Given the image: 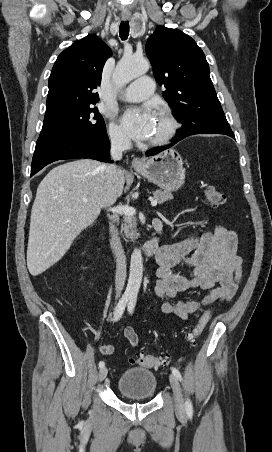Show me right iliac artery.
Listing matches in <instances>:
<instances>
[{
    "instance_id": "1",
    "label": "right iliac artery",
    "mask_w": 272,
    "mask_h": 452,
    "mask_svg": "<svg viewBox=\"0 0 272 452\" xmlns=\"http://www.w3.org/2000/svg\"><path fill=\"white\" fill-rule=\"evenodd\" d=\"M128 301H129V296H122V298L119 300L117 307L115 309V312H114V320L115 321L119 320L120 317L122 316ZM104 365H105V363L103 361L99 362V368L104 367Z\"/></svg>"
}]
</instances>
